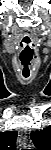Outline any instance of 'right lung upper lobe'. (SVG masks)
<instances>
[{
  "label": "right lung upper lobe",
  "mask_w": 51,
  "mask_h": 150,
  "mask_svg": "<svg viewBox=\"0 0 51 150\" xmlns=\"http://www.w3.org/2000/svg\"><path fill=\"white\" fill-rule=\"evenodd\" d=\"M16 131H6L0 133V150H15Z\"/></svg>",
  "instance_id": "cb5924a9"
}]
</instances>
